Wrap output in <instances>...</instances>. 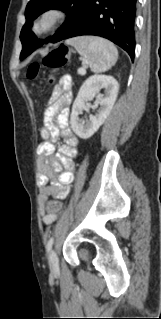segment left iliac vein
Wrapping results in <instances>:
<instances>
[{"mask_svg": "<svg viewBox=\"0 0 161 319\" xmlns=\"http://www.w3.org/2000/svg\"><path fill=\"white\" fill-rule=\"evenodd\" d=\"M49 266L53 273L59 272V262L57 254L54 250H51L48 256Z\"/></svg>", "mask_w": 161, "mask_h": 319, "instance_id": "obj_1", "label": "left iliac vein"}]
</instances>
